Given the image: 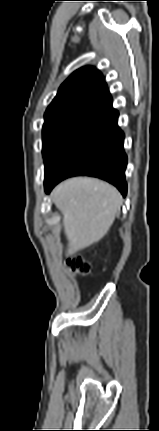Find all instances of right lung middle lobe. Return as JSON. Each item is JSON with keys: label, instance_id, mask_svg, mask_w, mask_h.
I'll return each instance as SVG.
<instances>
[{"label": "right lung middle lobe", "instance_id": "dd1d6c3e", "mask_svg": "<svg viewBox=\"0 0 159 431\" xmlns=\"http://www.w3.org/2000/svg\"><path fill=\"white\" fill-rule=\"evenodd\" d=\"M86 121L69 117L45 118L43 125V158L45 166L61 143Z\"/></svg>", "mask_w": 159, "mask_h": 431}]
</instances>
